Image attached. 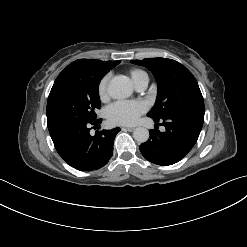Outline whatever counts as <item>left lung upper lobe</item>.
Wrapping results in <instances>:
<instances>
[{
    "label": "left lung upper lobe",
    "mask_w": 247,
    "mask_h": 247,
    "mask_svg": "<svg viewBox=\"0 0 247 247\" xmlns=\"http://www.w3.org/2000/svg\"><path fill=\"white\" fill-rule=\"evenodd\" d=\"M133 64L147 67L158 83L157 100L147 114L161 120L170 114L190 112L204 115V100L192 73L179 62L166 58L133 60Z\"/></svg>",
    "instance_id": "5c2ea615"
}]
</instances>
